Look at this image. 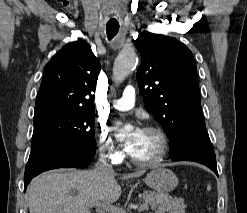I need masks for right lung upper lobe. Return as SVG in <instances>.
I'll list each match as a JSON object with an SVG mask.
<instances>
[{
    "label": "right lung upper lobe",
    "mask_w": 247,
    "mask_h": 213,
    "mask_svg": "<svg viewBox=\"0 0 247 213\" xmlns=\"http://www.w3.org/2000/svg\"><path fill=\"white\" fill-rule=\"evenodd\" d=\"M100 63L83 40L68 43L46 64L34 113L47 109L94 110Z\"/></svg>",
    "instance_id": "right-lung-upper-lobe-1"
}]
</instances>
